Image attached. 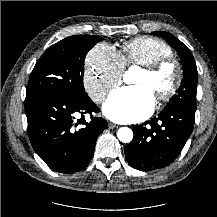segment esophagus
I'll return each mask as SVG.
<instances>
[{"label":"esophagus","mask_w":217,"mask_h":217,"mask_svg":"<svg viewBox=\"0 0 217 217\" xmlns=\"http://www.w3.org/2000/svg\"><path fill=\"white\" fill-rule=\"evenodd\" d=\"M109 129H114V128H116V127H118L116 124H114V123H109Z\"/></svg>","instance_id":"34e87169"}]
</instances>
